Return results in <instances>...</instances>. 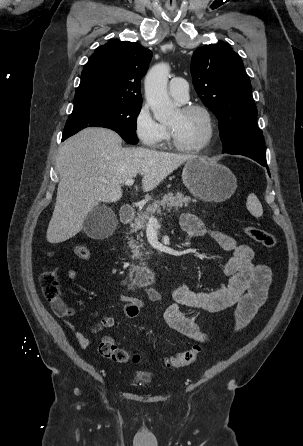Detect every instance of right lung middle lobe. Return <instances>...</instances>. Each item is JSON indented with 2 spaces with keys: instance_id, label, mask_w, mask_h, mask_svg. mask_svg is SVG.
Wrapping results in <instances>:
<instances>
[{
  "instance_id": "right-lung-middle-lobe-1",
  "label": "right lung middle lobe",
  "mask_w": 303,
  "mask_h": 446,
  "mask_svg": "<svg viewBox=\"0 0 303 446\" xmlns=\"http://www.w3.org/2000/svg\"><path fill=\"white\" fill-rule=\"evenodd\" d=\"M141 104L101 102L74 107L63 130L62 140L86 127H106L116 131L126 142L137 144L136 119Z\"/></svg>"
}]
</instances>
